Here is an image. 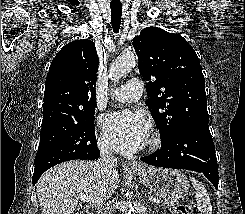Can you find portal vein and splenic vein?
Masks as SVG:
<instances>
[{
	"label": "portal vein and splenic vein",
	"instance_id": "portal-vein-and-splenic-vein-1",
	"mask_svg": "<svg viewBox=\"0 0 245 214\" xmlns=\"http://www.w3.org/2000/svg\"><path fill=\"white\" fill-rule=\"evenodd\" d=\"M78 199H80L81 201L90 202V203H94L97 205H101L104 202V199L101 197H95L93 195H85V194L80 195ZM149 200L154 203H160V200L153 198V197H149Z\"/></svg>",
	"mask_w": 245,
	"mask_h": 214
}]
</instances>
